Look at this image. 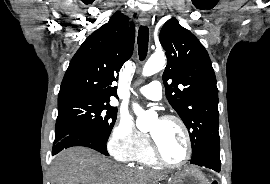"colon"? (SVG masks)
Listing matches in <instances>:
<instances>
[{
    "label": "colon",
    "mask_w": 270,
    "mask_h": 184,
    "mask_svg": "<svg viewBox=\"0 0 270 184\" xmlns=\"http://www.w3.org/2000/svg\"><path fill=\"white\" fill-rule=\"evenodd\" d=\"M211 184H218L215 180H213L212 182H211Z\"/></svg>",
    "instance_id": "obj_1"
}]
</instances>
